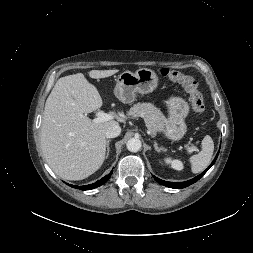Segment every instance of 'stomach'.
I'll return each mask as SVG.
<instances>
[{
	"label": "stomach",
	"mask_w": 253,
	"mask_h": 253,
	"mask_svg": "<svg viewBox=\"0 0 253 253\" xmlns=\"http://www.w3.org/2000/svg\"><path fill=\"white\" fill-rule=\"evenodd\" d=\"M158 87V76L154 70L140 68L135 73L125 71L117 78L115 96L123 103H132L136 93H152ZM169 118L164 126V134L172 140H180L187 131L185 119L190 112V105L180 96H170L164 101Z\"/></svg>",
	"instance_id": "0dacf381"
}]
</instances>
